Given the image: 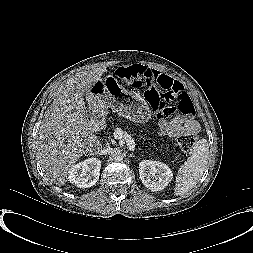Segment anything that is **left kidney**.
I'll use <instances>...</instances> for the list:
<instances>
[{
  "mask_svg": "<svg viewBox=\"0 0 253 253\" xmlns=\"http://www.w3.org/2000/svg\"><path fill=\"white\" fill-rule=\"evenodd\" d=\"M142 183L151 191L164 189L173 178L171 169L159 161L143 160L139 164Z\"/></svg>",
  "mask_w": 253,
  "mask_h": 253,
  "instance_id": "1",
  "label": "left kidney"
}]
</instances>
